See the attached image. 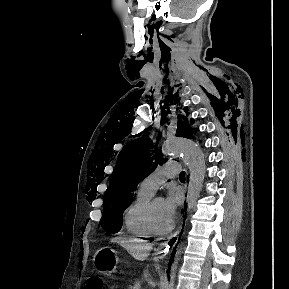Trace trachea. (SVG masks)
<instances>
[{
	"label": "trachea",
	"mask_w": 289,
	"mask_h": 289,
	"mask_svg": "<svg viewBox=\"0 0 289 289\" xmlns=\"http://www.w3.org/2000/svg\"><path fill=\"white\" fill-rule=\"evenodd\" d=\"M180 179H185V172L184 171H182L181 173H180Z\"/></svg>",
	"instance_id": "1"
}]
</instances>
